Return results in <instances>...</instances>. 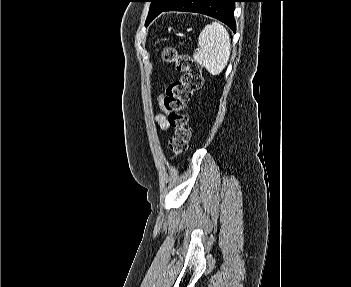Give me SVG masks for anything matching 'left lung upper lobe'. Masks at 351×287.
Segmentation results:
<instances>
[{"label":"left lung upper lobe","mask_w":351,"mask_h":287,"mask_svg":"<svg viewBox=\"0 0 351 287\" xmlns=\"http://www.w3.org/2000/svg\"><path fill=\"white\" fill-rule=\"evenodd\" d=\"M151 2L149 15L147 18V24H149L154 17L169 5L173 0H149Z\"/></svg>","instance_id":"left-lung-upper-lobe-1"}]
</instances>
